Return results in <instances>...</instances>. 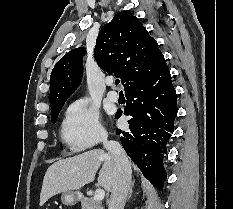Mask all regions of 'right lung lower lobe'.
Returning a JSON list of instances; mask_svg holds the SVG:
<instances>
[{"mask_svg":"<svg viewBox=\"0 0 233 209\" xmlns=\"http://www.w3.org/2000/svg\"><path fill=\"white\" fill-rule=\"evenodd\" d=\"M125 95L124 114L132 118L128 121L129 129H118L116 134L121 135L123 148L143 175L162 190L166 180L163 158L177 115L176 92L167 64L152 78L127 90ZM121 115L118 111L115 118Z\"/></svg>","mask_w":233,"mask_h":209,"instance_id":"right-lung-lower-lobe-1","label":"right lung lower lobe"}]
</instances>
